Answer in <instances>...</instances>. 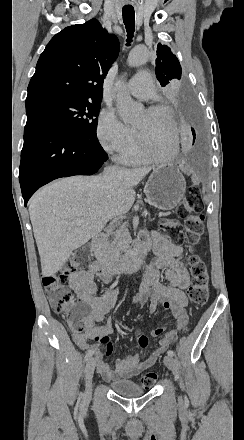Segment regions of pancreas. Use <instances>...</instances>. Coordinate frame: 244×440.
Masks as SVG:
<instances>
[{"instance_id": "pancreas-1", "label": "pancreas", "mask_w": 244, "mask_h": 440, "mask_svg": "<svg viewBox=\"0 0 244 440\" xmlns=\"http://www.w3.org/2000/svg\"><path fill=\"white\" fill-rule=\"evenodd\" d=\"M132 242L131 234L128 230H116L107 234L106 240H102L95 248V258L106 262V264H115L123 260V252L129 250Z\"/></svg>"}]
</instances>
